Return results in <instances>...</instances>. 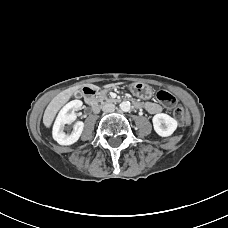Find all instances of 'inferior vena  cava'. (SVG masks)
<instances>
[{"label":"inferior vena cava","instance_id":"1","mask_svg":"<svg viewBox=\"0 0 228 228\" xmlns=\"http://www.w3.org/2000/svg\"><path fill=\"white\" fill-rule=\"evenodd\" d=\"M115 109V105L113 103H106L102 106V111L104 112H112Z\"/></svg>","mask_w":228,"mask_h":228}]
</instances>
